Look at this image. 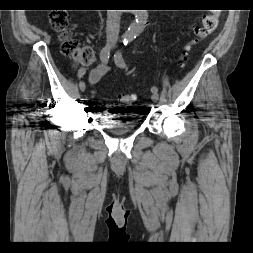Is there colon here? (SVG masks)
<instances>
[{
  "instance_id": "obj_1",
  "label": "colon",
  "mask_w": 253,
  "mask_h": 253,
  "mask_svg": "<svg viewBox=\"0 0 253 253\" xmlns=\"http://www.w3.org/2000/svg\"><path fill=\"white\" fill-rule=\"evenodd\" d=\"M219 14L213 12L203 18L202 25L197 28L196 35L184 47L180 55V63L183 64L189 57L193 48L208 38L217 28ZM53 29L62 35V52L73 58L78 64L87 65L93 60V52L90 48L80 46L75 40L68 36L69 21L63 12H55L51 15ZM138 98L136 93H121L118 100L123 104H131Z\"/></svg>"
}]
</instances>
